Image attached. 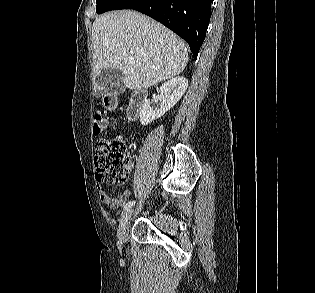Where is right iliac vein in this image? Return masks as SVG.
Masks as SVG:
<instances>
[{
	"instance_id": "right-iliac-vein-1",
	"label": "right iliac vein",
	"mask_w": 315,
	"mask_h": 293,
	"mask_svg": "<svg viewBox=\"0 0 315 293\" xmlns=\"http://www.w3.org/2000/svg\"><path fill=\"white\" fill-rule=\"evenodd\" d=\"M132 214L133 210L128 209L122 214L119 220L118 238L120 242H127L128 240V228Z\"/></svg>"
}]
</instances>
